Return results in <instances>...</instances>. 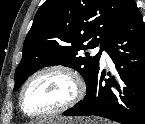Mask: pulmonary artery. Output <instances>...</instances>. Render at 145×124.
Here are the masks:
<instances>
[{
	"mask_svg": "<svg viewBox=\"0 0 145 124\" xmlns=\"http://www.w3.org/2000/svg\"><path fill=\"white\" fill-rule=\"evenodd\" d=\"M99 51V48H96L94 50V53H97ZM108 54L105 51H102V55H101V60L102 62H105L106 60H108Z\"/></svg>",
	"mask_w": 145,
	"mask_h": 124,
	"instance_id": "obj_1",
	"label": "pulmonary artery"
}]
</instances>
